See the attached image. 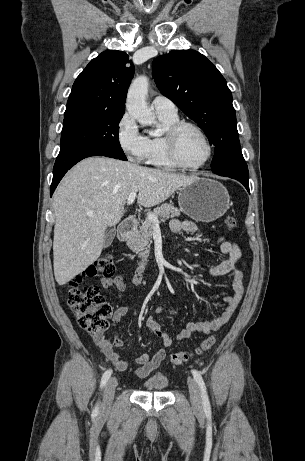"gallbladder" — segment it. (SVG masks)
I'll list each match as a JSON object with an SVG mask.
<instances>
[{
  "mask_svg": "<svg viewBox=\"0 0 305 461\" xmlns=\"http://www.w3.org/2000/svg\"><path fill=\"white\" fill-rule=\"evenodd\" d=\"M115 234H116L115 229H111L106 233L104 243H103L104 248H107V247H109L111 245V243L113 242V239L115 237Z\"/></svg>",
  "mask_w": 305,
  "mask_h": 461,
  "instance_id": "obj_1",
  "label": "gallbladder"
}]
</instances>
